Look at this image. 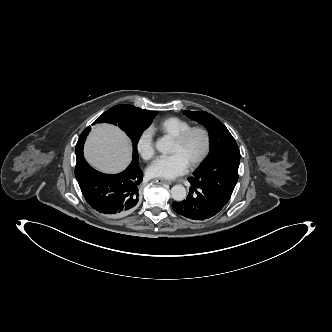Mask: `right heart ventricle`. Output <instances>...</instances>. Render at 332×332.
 Returning <instances> with one entry per match:
<instances>
[{
	"instance_id": "e07e8e85",
	"label": "right heart ventricle",
	"mask_w": 332,
	"mask_h": 332,
	"mask_svg": "<svg viewBox=\"0 0 332 332\" xmlns=\"http://www.w3.org/2000/svg\"><path fill=\"white\" fill-rule=\"evenodd\" d=\"M190 126L191 123L186 119L178 116H169L153 125L151 130L175 138Z\"/></svg>"
}]
</instances>
